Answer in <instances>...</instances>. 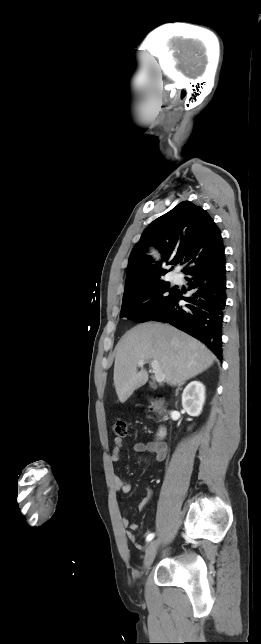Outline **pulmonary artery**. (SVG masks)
<instances>
[{
    "mask_svg": "<svg viewBox=\"0 0 261 644\" xmlns=\"http://www.w3.org/2000/svg\"><path fill=\"white\" fill-rule=\"evenodd\" d=\"M174 279H175V280H178V276H176V275H175V276H174Z\"/></svg>",
    "mask_w": 261,
    "mask_h": 644,
    "instance_id": "pulmonary-artery-1",
    "label": "pulmonary artery"
}]
</instances>
